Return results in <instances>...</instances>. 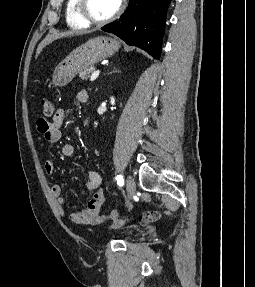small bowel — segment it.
<instances>
[{
    "mask_svg": "<svg viewBox=\"0 0 255 287\" xmlns=\"http://www.w3.org/2000/svg\"><path fill=\"white\" fill-rule=\"evenodd\" d=\"M86 92H79L77 94L78 102H85L87 100ZM66 111L59 108L54 113L51 120L40 118L37 121V129L43 135L44 139L50 144H56L62 137L61 126L63 124ZM75 153V147L72 144H65L61 148V154L64 157H71ZM44 170L47 174H52L55 171V163L52 159H48L44 164ZM86 187L92 192L87 199L86 206L79 211L66 212L65 197L62 194V189L55 184L51 188V194L54 198L58 213L61 217H68L72 222L79 225H99L105 221V216L101 214V208L105 201V193L102 189V177L97 171H89L87 177ZM158 211H149L139 216V223L146 226L150 223L156 222L160 219ZM123 220L115 219L113 227H119L123 224Z\"/></svg>",
    "mask_w": 255,
    "mask_h": 287,
    "instance_id": "c3829d8e",
    "label": "small bowel"
}]
</instances>
